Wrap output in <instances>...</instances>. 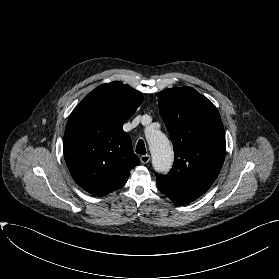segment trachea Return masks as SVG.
Wrapping results in <instances>:
<instances>
[{
	"instance_id": "obj_1",
	"label": "trachea",
	"mask_w": 279,
	"mask_h": 279,
	"mask_svg": "<svg viewBox=\"0 0 279 279\" xmlns=\"http://www.w3.org/2000/svg\"><path fill=\"white\" fill-rule=\"evenodd\" d=\"M136 153H137V154H141V155L146 154L145 144H144V141H143L142 139H140V140L137 142V145H136Z\"/></svg>"
}]
</instances>
